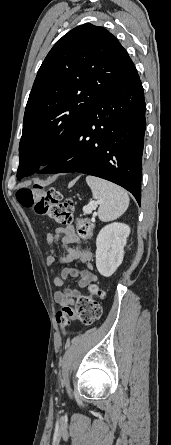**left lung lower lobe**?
Instances as JSON below:
<instances>
[{"label":"left lung lower lobe","instance_id":"obj_1","mask_svg":"<svg viewBox=\"0 0 171 445\" xmlns=\"http://www.w3.org/2000/svg\"><path fill=\"white\" fill-rule=\"evenodd\" d=\"M145 110L135 70L87 109L60 152L38 173L97 176L124 187L140 204Z\"/></svg>","mask_w":171,"mask_h":445}]
</instances>
